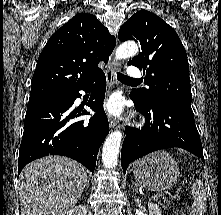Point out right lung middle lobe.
Returning a JSON list of instances; mask_svg holds the SVG:
<instances>
[{
	"label": "right lung middle lobe",
	"instance_id": "right-lung-middle-lobe-1",
	"mask_svg": "<svg viewBox=\"0 0 221 215\" xmlns=\"http://www.w3.org/2000/svg\"><path fill=\"white\" fill-rule=\"evenodd\" d=\"M53 97H56V96H53ZM53 97H49V98H45V99H42V100H46V99H51ZM38 101H41V100H38ZM34 102V101H33Z\"/></svg>",
	"mask_w": 221,
	"mask_h": 215
}]
</instances>
